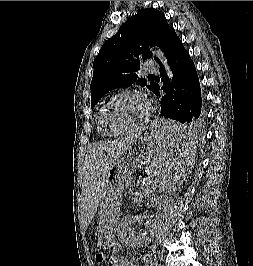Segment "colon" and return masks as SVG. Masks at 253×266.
Here are the masks:
<instances>
[{"label":"colon","mask_w":253,"mask_h":266,"mask_svg":"<svg viewBox=\"0 0 253 266\" xmlns=\"http://www.w3.org/2000/svg\"><path fill=\"white\" fill-rule=\"evenodd\" d=\"M95 259L100 266H118V261L115 257L106 262L103 254L97 253Z\"/></svg>","instance_id":"5ec220e1"}]
</instances>
